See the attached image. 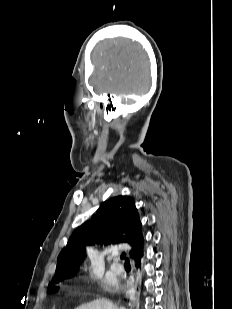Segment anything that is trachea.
Instances as JSON below:
<instances>
[{"instance_id": "1", "label": "trachea", "mask_w": 232, "mask_h": 309, "mask_svg": "<svg viewBox=\"0 0 232 309\" xmlns=\"http://www.w3.org/2000/svg\"><path fill=\"white\" fill-rule=\"evenodd\" d=\"M121 259L125 260V264H129L130 263L128 258H126V254L124 252L121 254Z\"/></svg>"}]
</instances>
